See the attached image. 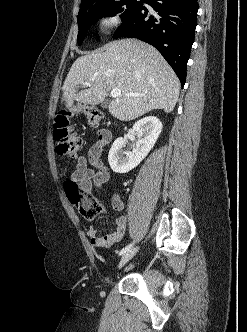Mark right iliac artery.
<instances>
[{
	"label": "right iliac artery",
	"mask_w": 247,
	"mask_h": 332,
	"mask_svg": "<svg viewBox=\"0 0 247 332\" xmlns=\"http://www.w3.org/2000/svg\"><path fill=\"white\" fill-rule=\"evenodd\" d=\"M133 245H134V242L131 243V244H129V245H127L125 248H123V249L119 252V255H122V254L126 253L127 251H129V250L133 247Z\"/></svg>",
	"instance_id": "82829eb1"
}]
</instances>
